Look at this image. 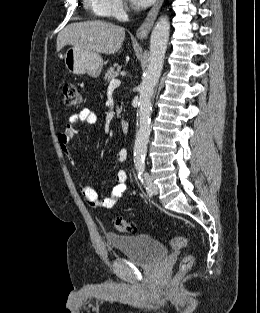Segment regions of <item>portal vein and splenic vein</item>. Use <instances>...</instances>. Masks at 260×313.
Masks as SVG:
<instances>
[{"mask_svg": "<svg viewBox=\"0 0 260 313\" xmlns=\"http://www.w3.org/2000/svg\"><path fill=\"white\" fill-rule=\"evenodd\" d=\"M120 84H121L120 80H118V79H113V80L110 81L109 88H110V89H111V88H117V87L120 86Z\"/></svg>", "mask_w": 260, "mask_h": 313, "instance_id": "obj_1", "label": "portal vein and splenic vein"}]
</instances>
